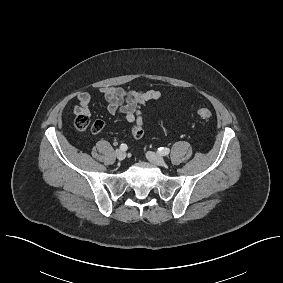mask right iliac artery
<instances>
[{
    "mask_svg": "<svg viewBox=\"0 0 283 283\" xmlns=\"http://www.w3.org/2000/svg\"><path fill=\"white\" fill-rule=\"evenodd\" d=\"M127 145L126 144H121L120 146V149L123 150V151H126L127 150Z\"/></svg>",
    "mask_w": 283,
    "mask_h": 283,
    "instance_id": "right-iliac-artery-1",
    "label": "right iliac artery"
}]
</instances>
